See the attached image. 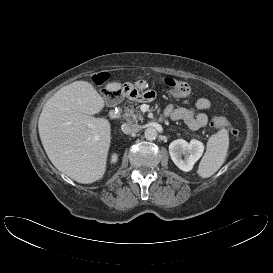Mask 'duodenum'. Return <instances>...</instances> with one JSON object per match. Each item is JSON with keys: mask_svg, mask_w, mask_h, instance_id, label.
Here are the masks:
<instances>
[{"mask_svg": "<svg viewBox=\"0 0 273 273\" xmlns=\"http://www.w3.org/2000/svg\"><path fill=\"white\" fill-rule=\"evenodd\" d=\"M110 115L111 117L116 118L119 116V111L114 108L111 110Z\"/></svg>", "mask_w": 273, "mask_h": 273, "instance_id": "duodenum-1", "label": "duodenum"}]
</instances>
